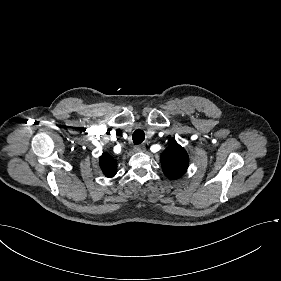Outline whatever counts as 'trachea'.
Wrapping results in <instances>:
<instances>
[{"mask_svg": "<svg viewBox=\"0 0 281 281\" xmlns=\"http://www.w3.org/2000/svg\"><path fill=\"white\" fill-rule=\"evenodd\" d=\"M132 139L135 145L142 143L145 139L144 130L141 128H137L132 135Z\"/></svg>", "mask_w": 281, "mask_h": 281, "instance_id": "obj_1", "label": "trachea"}]
</instances>
